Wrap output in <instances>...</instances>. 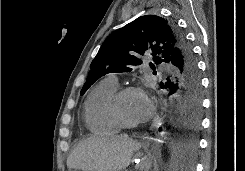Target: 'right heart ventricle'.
Here are the masks:
<instances>
[{"label":"right heart ventricle","instance_id":"obj_1","mask_svg":"<svg viewBox=\"0 0 245 171\" xmlns=\"http://www.w3.org/2000/svg\"><path fill=\"white\" fill-rule=\"evenodd\" d=\"M117 89V84L104 79L89 93L84 104V121L91 133L112 135L119 132L120 127L110 111V101Z\"/></svg>","mask_w":245,"mask_h":171}]
</instances>
